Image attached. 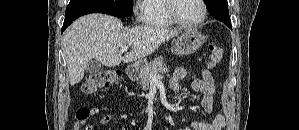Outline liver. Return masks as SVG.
Returning <instances> with one entry per match:
<instances>
[{
  "label": "liver",
  "instance_id": "6515ba94",
  "mask_svg": "<svg viewBox=\"0 0 299 130\" xmlns=\"http://www.w3.org/2000/svg\"><path fill=\"white\" fill-rule=\"evenodd\" d=\"M180 32L151 26L124 29L122 22L113 16L85 15L73 22L63 34L69 82L72 86L80 82L92 59L107 67L138 61ZM123 46H131L132 50L121 56L118 52Z\"/></svg>",
  "mask_w": 299,
  "mask_h": 130
}]
</instances>
